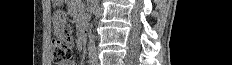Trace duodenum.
Returning <instances> with one entry per match:
<instances>
[{
    "label": "duodenum",
    "mask_w": 232,
    "mask_h": 65,
    "mask_svg": "<svg viewBox=\"0 0 232 65\" xmlns=\"http://www.w3.org/2000/svg\"><path fill=\"white\" fill-rule=\"evenodd\" d=\"M81 42H82V44H86V42H87V30H86V28H82V30H81Z\"/></svg>",
    "instance_id": "duodenum-1"
}]
</instances>
